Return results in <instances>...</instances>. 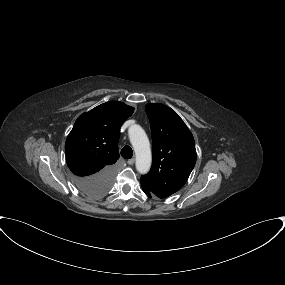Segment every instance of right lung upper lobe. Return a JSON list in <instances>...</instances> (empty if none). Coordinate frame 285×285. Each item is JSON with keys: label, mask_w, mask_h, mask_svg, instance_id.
Masks as SVG:
<instances>
[{"label": "right lung upper lobe", "mask_w": 285, "mask_h": 285, "mask_svg": "<svg viewBox=\"0 0 285 285\" xmlns=\"http://www.w3.org/2000/svg\"><path fill=\"white\" fill-rule=\"evenodd\" d=\"M133 112L122 102L110 101L76 120L65 143L66 162L75 176H91L116 163L120 128Z\"/></svg>", "instance_id": "obj_1"}]
</instances>
